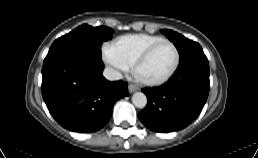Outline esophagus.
I'll use <instances>...</instances> for the list:
<instances>
[{
    "label": "esophagus",
    "mask_w": 258,
    "mask_h": 158,
    "mask_svg": "<svg viewBox=\"0 0 258 158\" xmlns=\"http://www.w3.org/2000/svg\"><path fill=\"white\" fill-rule=\"evenodd\" d=\"M137 89V86L134 83L128 85V90L130 93H133Z\"/></svg>",
    "instance_id": "obj_1"
}]
</instances>
